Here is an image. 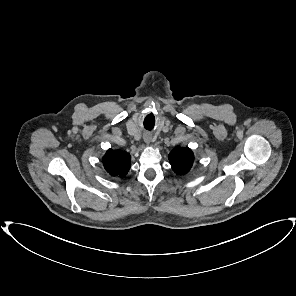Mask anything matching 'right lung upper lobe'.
<instances>
[{"label": "right lung upper lobe", "mask_w": 296, "mask_h": 296, "mask_svg": "<svg viewBox=\"0 0 296 296\" xmlns=\"http://www.w3.org/2000/svg\"><path fill=\"white\" fill-rule=\"evenodd\" d=\"M130 159L126 152L109 149L103 157V164L110 175L123 177L130 169Z\"/></svg>", "instance_id": "obj_1"}]
</instances>
